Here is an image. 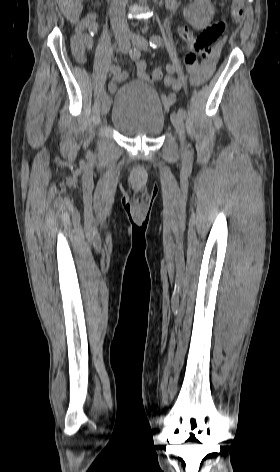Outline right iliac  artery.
Instances as JSON below:
<instances>
[{
	"label": "right iliac artery",
	"instance_id": "82829eb1",
	"mask_svg": "<svg viewBox=\"0 0 280 472\" xmlns=\"http://www.w3.org/2000/svg\"><path fill=\"white\" fill-rule=\"evenodd\" d=\"M128 52H129V55H130L132 60H138L141 56L140 51L136 48H134V49L132 48ZM110 72L114 77L119 76L121 74V69L119 67L113 65V66L110 67Z\"/></svg>",
	"mask_w": 280,
	"mask_h": 472
}]
</instances>
